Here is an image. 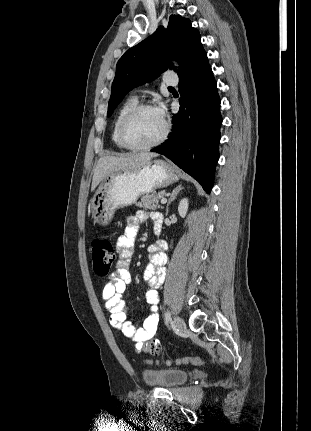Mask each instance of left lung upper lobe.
<instances>
[{"label":"left lung upper lobe","mask_w":311,"mask_h":431,"mask_svg":"<svg viewBox=\"0 0 311 431\" xmlns=\"http://www.w3.org/2000/svg\"><path fill=\"white\" fill-rule=\"evenodd\" d=\"M204 51L199 31L188 19L171 15L167 29L159 27L150 37L127 50L119 59L107 116H111L123 97L134 87L155 79L169 66L170 60L180 63L181 76L198 53Z\"/></svg>","instance_id":"left-lung-upper-lobe-1"}]
</instances>
